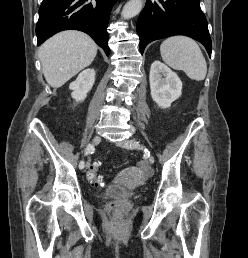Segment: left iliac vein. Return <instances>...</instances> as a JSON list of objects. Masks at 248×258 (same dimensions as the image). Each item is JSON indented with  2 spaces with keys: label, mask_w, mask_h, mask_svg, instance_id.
Instances as JSON below:
<instances>
[{
  "label": "left iliac vein",
  "mask_w": 248,
  "mask_h": 258,
  "mask_svg": "<svg viewBox=\"0 0 248 258\" xmlns=\"http://www.w3.org/2000/svg\"><path fill=\"white\" fill-rule=\"evenodd\" d=\"M119 146L127 149V150H139L140 149V143L136 140H124L119 143H117ZM149 164H153L155 159L152 155H147Z\"/></svg>",
  "instance_id": "left-iliac-vein-1"
}]
</instances>
